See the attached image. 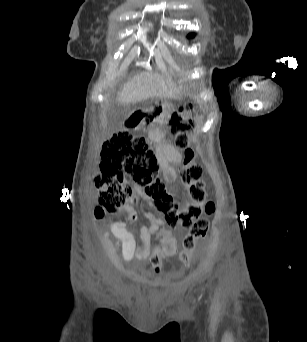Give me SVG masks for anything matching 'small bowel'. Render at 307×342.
Segmentation results:
<instances>
[{"label":"small bowel","mask_w":307,"mask_h":342,"mask_svg":"<svg viewBox=\"0 0 307 342\" xmlns=\"http://www.w3.org/2000/svg\"><path fill=\"white\" fill-rule=\"evenodd\" d=\"M181 158V153L175 148L169 147L167 149L165 157L162 158V167L167 181L172 182L175 179V172L173 168L170 167L169 162L178 164L180 163ZM126 212L128 214H135L131 207H127ZM142 214L148 225H144L140 229V243H138L133 233L128 229L127 223L124 220H115L111 224V232L114 236L116 246L121 249L122 258L125 262H130L135 258L138 260L146 259L151 252L152 237H158V232L153 234V227L154 225H162V220L155 218L151 213L145 211L143 208ZM102 216V211L100 209L96 210L95 219H100ZM128 220L132 221L131 219Z\"/></svg>","instance_id":"small-bowel-1"}]
</instances>
